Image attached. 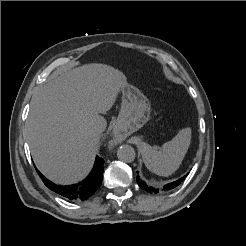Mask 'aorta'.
Returning a JSON list of instances; mask_svg holds the SVG:
<instances>
[{
	"label": "aorta",
	"mask_w": 246,
	"mask_h": 246,
	"mask_svg": "<svg viewBox=\"0 0 246 246\" xmlns=\"http://www.w3.org/2000/svg\"><path fill=\"white\" fill-rule=\"evenodd\" d=\"M135 150L130 145H122L117 151L118 158L126 163H130L135 159Z\"/></svg>",
	"instance_id": "762f6f07"
}]
</instances>
